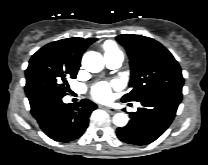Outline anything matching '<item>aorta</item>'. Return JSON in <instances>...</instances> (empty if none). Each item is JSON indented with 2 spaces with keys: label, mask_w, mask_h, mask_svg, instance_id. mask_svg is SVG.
<instances>
[{
  "label": "aorta",
  "mask_w": 208,
  "mask_h": 165,
  "mask_svg": "<svg viewBox=\"0 0 208 165\" xmlns=\"http://www.w3.org/2000/svg\"><path fill=\"white\" fill-rule=\"evenodd\" d=\"M82 66L89 72L97 73L103 69L104 59L100 53L89 51L82 58ZM113 123L118 127H124L128 123V116L124 113H117L113 117Z\"/></svg>",
  "instance_id": "obj_1"
}]
</instances>
